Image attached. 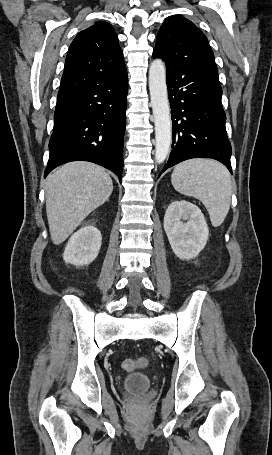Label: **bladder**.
Returning a JSON list of instances; mask_svg holds the SVG:
<instances>
[{"label": "bladder", "instance_id": "31cf9c89", "mask_svg": "<svg viewBox=\"0 0 272 455\" xmlns=\"http://www.w3.org/2000/svg\"><path fill=\"white\" fill-rule=\"evenodd\" d=\"M151 386V381L149 377L142 373H130L128 374L124 381L123 387L135 393H140L148 390Z\"/></svg>", "mask_w": 272, "mask_h": 455}]
</instances>
